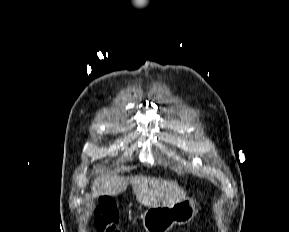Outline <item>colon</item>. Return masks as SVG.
<instances>
[{"label": "colon", "mask_w": 289, "mask_h": 232, "mask_svg": "<svg viewBox=\"0 0 289 232\" xmlns=\"http://www.w3.org/2000/svg\"><path fill=\"white\" fill-rule=\"evenodd\" d=\"M119 221V212L115 201L103 196L95 209V226L99 232H120L117 227Z\"/></svg>", "instance_id": "obj_1"}]
</instances>
